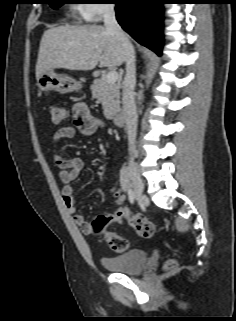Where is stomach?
<instances>
[{"instance_id":"1","label":"stomach","mask_w":236,"mask_h":321,"mask_svg":"<svg viewBox=\"0 0 236 321\" xmlns=\"http://www.w3.org/2000/svg\"><path fill=\"white\" fill-rule=\"evenodd\" d=\"M37 86L41 91H57L61 94L77 91L82 85L77 80L54 72L46 71L37 78Z\"/></svg>"}]
</instances>
